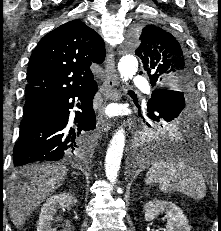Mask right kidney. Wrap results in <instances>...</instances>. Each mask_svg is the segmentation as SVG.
I'll list each match as a JSON object with an SVG mask.
<instances>
[{"label":"right kidney","mask_w":221,"mask_h":231,"mask_svg":"<svg viewBox=\"0 0 221 231\" xmlns=\"http://www.w3.org/2000/svg\"><path fill=\"white\" fill-rule=\"evenodd\" d=\"M78 200L71 193L56 194L46 200L43 204L39 220L37 223V231H54L52 221L57 213V210L64 205H76Z\"/></svg>","instance_id":"right-kidney-1"}]
</instances>
